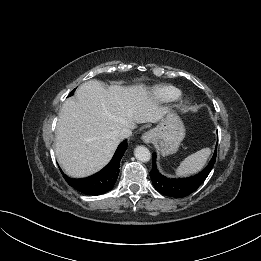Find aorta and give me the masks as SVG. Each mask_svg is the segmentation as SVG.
<instances>
[{
  "mask_svg": "<svg viewBox=\"0 0 261 261\" xmlns=\"http://www.w3.org/2000/svg\"><path fill=\"white\" fill-rule=\"evenodd\" d=\"M134 155L141 162H148L151 158L150 151L144 146H138L134 150Z\"/></svg>",
  "mask_w": 261,
  "mask_h": 261,
  "instance_id": "aorta-1",
  "label": "aorta"
}]
</instances>
